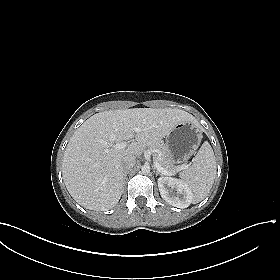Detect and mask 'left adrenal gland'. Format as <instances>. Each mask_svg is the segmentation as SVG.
<instances>
[{
	"instance_id": "1",
	"label": "left adrenal gland",
	"mask_w": 280,
	"mask_h": 280,
	"mask_svg": "<svg viewBox=\"0 0 280 280\" xmlns=\"http://www.w3.org/2000/svg\"><path fill=\"white\" fill-rule=\"evenodd\" d=\"M154 169H155V168H154ZM155 170H156V169H155ZM155 173H156V175H161V176H163V174L160 173L158 170H156Z\"/></svg>"
}]
</instances>
